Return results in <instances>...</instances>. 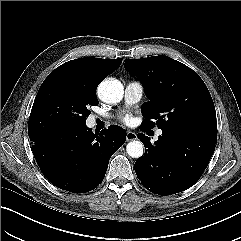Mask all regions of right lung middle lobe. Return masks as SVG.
<instances>
[{
    "instance_id": "obj_1",
    "label": "right lung middle lobe",
    "mask_w": 241,
    "mask_h": 241,
    "mask_svg": "<svg viewBox=\"0 0 241 241\" xmlns=\"http://www.w3.org/2000/svg\"><path fill=\"white\" fill-rule=\"evenodd\" d=\"M97 104V97L86 95L69 79L45 80L31 110L28 134L34 136L84 126L90 115L89 106Z\"/></svg>"
}]
</instances>
